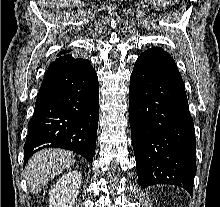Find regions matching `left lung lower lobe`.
<instances>
[{"label": "left lung lower lobe", "mask_w": 220, "mask_h": 207, "mask_svg": "<svg viewBox=\"0 0 220 207\" xmlns=\"http://www.w3.org/2000/svg\"><path fill=\"white\" fill-rule=\"evenodd\" d=\"M132 144L141 187L172 184L193 194L196 142L185 87L162 48L144 51L129 87Z\"/></svg>", "instance_id": "obj_1"}]
</instances>
